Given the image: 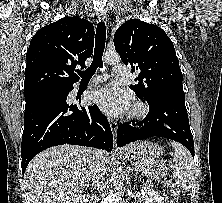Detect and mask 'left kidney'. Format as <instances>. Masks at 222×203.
I'll use <instances>...</instances> for the list:
<instances>
[{
  "instance_id": "1",
  "label": "left kidney",
  "mask_w": 222,
  "mask_h": 203,
  "mask_svg": "<svg viewBox=\"0 0 222 203\" xmlns=\"http://www.w3.org/2000/svg\"><path fill=\"white\" fill-rule=\"evenodd\" d=\"M141 194L143 203H165L164 198L160 196L159 192L154 191L150 186H143Z\"/></svg>"
}]
</instances>
